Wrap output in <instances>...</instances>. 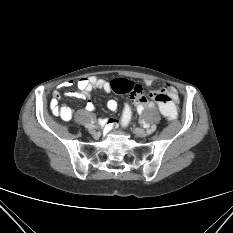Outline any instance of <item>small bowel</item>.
Wrapping results in <instances>:
<instances>
[{
  "instance_id": "c3829d8e",
  "label": "small bowel",
  "mask_w": 233,
  "mask_h": 233,
  "mask_svg": "<svg viewBox=\"0 0 233 233\" xmlns=\"http://www.w3.org/2000/svg\"><path fill=\"white\" fill-rule=\"evenodd\" d=\"M146 84L150 85L151 81H146ZM73 85H74V82L72 80H68V81L61 83L58 86V89L70 88ZM58 89L53 92L52 99L50 101L51 110L54 115L60 117L61 119L66 120V121L71 120L75 115V111L66 105L59 104V101L61 100L62 96ZM96 89H102L105 92H110L111 84L110 82L103 80V79H99L95 76L83 77L78 80L77 89H69L67 92H65L64 96L86 100L85 109L89 112H94L95 106L90 100V93ZM163 91H165L169 95L173 105L178 101V92L175 87L169 84H166L164 86ZM135 106H136L137 112L142 113L145 109L152 107L153 104L148 101H142V102H135ZM117 107H118V104L116 100L114 99L108 100L107 108L110 111L115 112L117 110ZM115 123H116L115 120L113 119L109 120L110 125H114Z\"/></svg>"
}]
</instances>
